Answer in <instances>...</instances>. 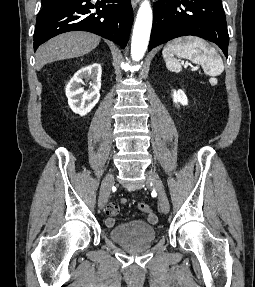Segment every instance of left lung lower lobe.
<instances>
[{
    "label": "left lung lower lobe",
    "mask_w": 255,
    "mask_h": 287,
    "mask_svg": "<svg viewBox=\"0 0 255 287\" xmlns=\"http://www.w3.org/2000/svg\"><path fill=\"white\" fill-rule=\"evenodd\" d=\"M193 35L216 43L228 57L229 35L221 0H161L154 6L149 50Z\"/></svg>",
    "instance_id": "0a47b994"
}]
</instances>
